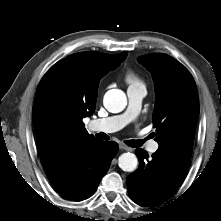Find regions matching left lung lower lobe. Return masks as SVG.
Instances as JSON below:
<instances>
[{
  "mask_svg": "<svg viewBox=\"0 0 221 221\" xmlns=\"http://www.w3.org/2000/svg\"><path fill=\"white\" fill-rule=\"evenodd\" d=\"M138 169L127 177L130 198L136 204L155 207L168 200L185 178L190 158L158 149L152 159L145 150L136 149Z\"/></svg>",
  "mask_w": 221,
  "mask_h": 221,
  "instance_id": "1",
  "label": "left lung lower lobe"
}]
</instances>
